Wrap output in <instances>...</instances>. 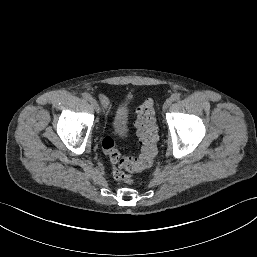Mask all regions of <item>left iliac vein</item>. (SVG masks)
<instances>
[{
  "label": "left iliac vein",
  "mask_w": 257,
  "mask_h": 257,
  "mask_svg": "<svg viewBox=\"0 0 257 257\" xmlns=\"http://www.w3.org/2000/svg\"><path fill=\"white\" fill-rule=\"evenodd\" d=\"M171 103H172V99H171V98H168V99L164 102V104H163V110H164V111L167 110L168 107L171 105Z\"/></svg>",
  "instance_id": "left-iliac-vein-1"
}]
</instances>
